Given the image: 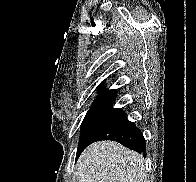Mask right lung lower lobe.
Here are the masks:
<instances>
[{"mask_svg":"<svg viewBox=\"0 0 196 182\" xmlns=\"http://www.w3.org/2000/svg\"><path fill=\"white\" fill-rule=\"evenodd\" d=\"M101 140L117 141L125 147L138 153H142L143 156H146V142L141 131L135 126L133 122L129 121L125 117L102 131L95 137L92 143ZM80 154L81 153L77 154V158Z\"/></svg>","mask_w":196,"mask_h":182,"instance_id":"1","label":"right lung lower lobe"}]
</instances>
